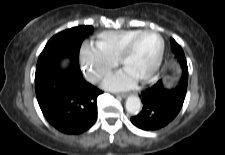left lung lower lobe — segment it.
Returning <instances> with one entry per match:
<instances>
[{
	"instance_id": "1",
	"label": "left lung lower lobe",
	"mask_w": 225,
	"mask_h": 155,
	"mask_svg": "<svg viewBox=\"0 0 225 155\" xmlns=\"http://www.w3.org/2000/svg\"><path fill=\"white\" fill-rule=\"evenodd\" d=\"M187 83L180 80L174 88L168 89L159 80L141 93L143 109L131 118V122L146 131L158 130L169 124L182 108Z\"/></svg>"
}]
</instances>
